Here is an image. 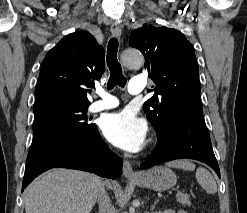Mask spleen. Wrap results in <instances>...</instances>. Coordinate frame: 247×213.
Returning <instances> with one entry per match:
<instances>
[{
  "mask_svg": "<svg viewBox=\"0 0 247 213\" xmlns=\"http://www.w3.org/2000/svg\"><path fill=\"white\" fill-rule=\"evenodd\" d=\"M166 166H169L172 168H179V169L187 170V171H193L196 168L195 164L187 160L171 161V162H168ZM195 176H196L198 183L201 185L202 188H204L207 191V193L215 194L217 192L216 182L208 170H206L205 168L199 167L196 170Z\"/></svg>",
  "mask_w": 247,
  "mask_h": 213,
  "instance_id": "1",
  "label": "spleen"
}]
</instances>
